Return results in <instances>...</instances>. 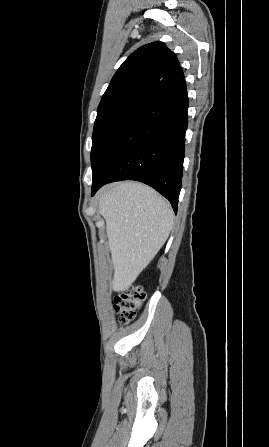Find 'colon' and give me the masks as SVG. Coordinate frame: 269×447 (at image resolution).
<instances>
[{"label": "colon", "mask_w": 269, "mask_h": 447, "mask_svg": "<svg viewBox=\"0 0 269 447\" xmlns=\"http://www.w3.org/2000/svg\"><path fill=\"white\" fill-rule=\"evenodd\" d=\"M144 296V290L140 286L128 287L118 293L114 298L113 308L121 324H127L135 319L142 307Z\"/></svg>", "instance_id": "1"}]
</instances>
